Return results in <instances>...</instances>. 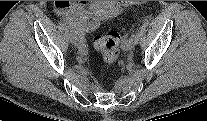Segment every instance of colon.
<instances>
[{
    "label": "colon",
    "instance_id": "5ec220e1",
    "mask_svg": "<svg viewBox=\"0 0 207 121\" xmlns=\"http://www.w3.org/2000/svg\"><path fill=\"white\" fill-rule=\"evenodd\" d=\"M120 36L115 31H110L106 35L97 36L94 39L95 48L102 54L103 59L108 64H113L119 57Z\"/></svg>",
    "mask_w": 207,
    "mask_h": 121
}]
</instances>
